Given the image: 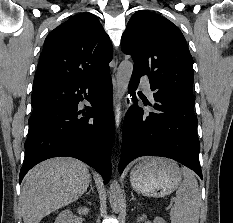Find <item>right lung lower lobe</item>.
Segmentation results:
<instances>
[{"label": "right lung lower lobe", "mask_w": 233, "mask_h": 223, "mask_svg": "<svg viewBox=\"0 0 233 223\" xmlns=\"http://www.w3.org/2000/svg\"><path fill=\"white\" fill-rule=\"evenodd\" d=\"M83 99L92 106L81 110ZM31 100L19 182L37 163L59 156L84 161L108 182L114 141L110 69L91 79L33 90Z\"/></svg>", "instance_id": "right-lung-lower-lobe-1"}]
</instances>
